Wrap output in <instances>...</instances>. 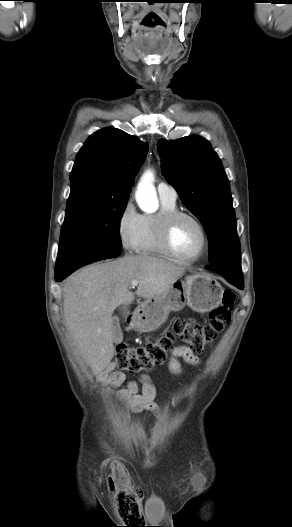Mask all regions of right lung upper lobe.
<instances>
[{
	"label": "right lung upper lobe",
	"mask_w": 292,
	"mask_h": 527,
	"mask_svg": "<svg viewBox=\"0 0 292 527\" xmlns=\"http://www.w3.org/2000/svg\"><path fill=\"white\" fill-rule=\"evenodd\" d=\"M148 151L147 143L113 127L91 135L76 156L71 187L128 197Z\"/></svg>",
	"instance_id": "obj_1"
}]
</instances>
